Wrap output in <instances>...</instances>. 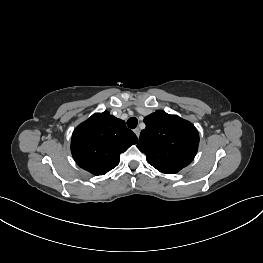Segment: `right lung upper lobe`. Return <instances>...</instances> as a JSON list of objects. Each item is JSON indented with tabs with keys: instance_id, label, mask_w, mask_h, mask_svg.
<instances>
[{
	"instance_id": "right-lung-upper-lobe-1",
	"label": "right lung upper lobe",
	"mask_w": 263,
	"mask_h": 263,
	"mask_svg": "<svg viewBox=\"0 0 263 263\" xmlns=\"http://www.w3.org/2000/svg\"><path fill=\"white\" fill-rule=\"evenodd\" d=\"M137 141L123 120L104 111L92 115L74 130L71 152L81 168L104 175L119 164L120 154Z\"/></svg>"
}]
</instances>
